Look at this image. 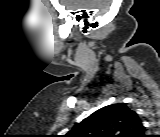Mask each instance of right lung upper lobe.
<instances>
[{
	"label": "right lung upper lobe",
	"instance_id": "cb5924a9",
	"mask_svg": "<svg viewBox=\"0 0 160 137\" xmlns=\"http://www.w3.org/2000/svg\"><path fill=\"white\" fill-rule=\"evenodd\" d=\"M144 131L137 113L119 103L95 111L68 134L70 137H141Z\"/></svg>",
	"mask_w": 160,
	"mask_h": 137
}]
</instances>
